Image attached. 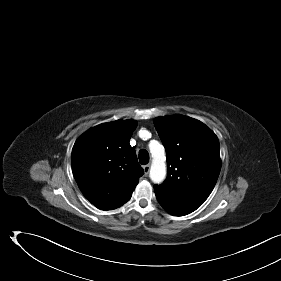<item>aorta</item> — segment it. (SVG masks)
<instances>
[{
	"label": "aorta",
	"instance_id": "obj_1",
	"mask_svg": "<svg viewBox=\"0 0 281 281\" xmlns=\"http://www.w3.org/2000/svg\"><path fill=\"white\" fill-rule=\"evenodd\" d=\"M149 149L153 158L149 176L154 183L159 184L166 177L165 150L158 141H152Z\"/></svg>",
	"mask_w": 281,
	"mask_h": 281
}]
</instances>
